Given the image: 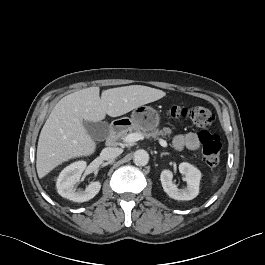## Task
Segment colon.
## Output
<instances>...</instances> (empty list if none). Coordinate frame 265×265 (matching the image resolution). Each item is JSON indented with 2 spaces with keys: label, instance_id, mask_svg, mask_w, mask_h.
<instances>
[{
  "label": "colon",
  "instance_id": "obj_1",
  "mask_svg": "<svg viewBox=\"0 0 265 265\" xmlns=\"http://www.w3.org/2000/svg\"><path fill=\"white\" fill-rule=\"evenodd\" d=\"M169 115L173 118H188L196 127L202 129L199 133L202 155L207 166L216 169L220 161L221 141L219 135L207 130L215 120L213 111L206 107L173 106L169 109Z\"/></svg>",
  "mask_w": 265,
  "mask_h": 265
}]
</instances>
